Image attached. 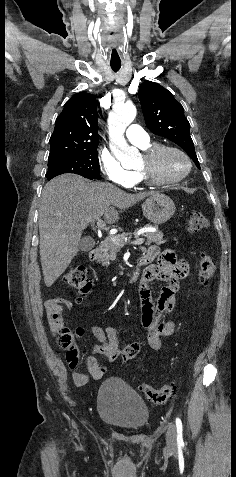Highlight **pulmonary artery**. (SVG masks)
Wrapping results in <instances>:
<instances>
[{"mask_svg":"<svg viewBox=\"0 0 236 477\" xmlns=\"http://www.w3.org/2000/svg\"><path fill=\"white\" fill-rule=\"evenodd\" d=\"M126 137L130 142L139 147L149 144L150 141L147 132L137 124H132L127 128Z\"/></svg>","mask_w":236,"mask_h":477,"instance_id":"1","label":"pulmonary artery"}]
</instances>
